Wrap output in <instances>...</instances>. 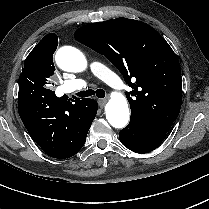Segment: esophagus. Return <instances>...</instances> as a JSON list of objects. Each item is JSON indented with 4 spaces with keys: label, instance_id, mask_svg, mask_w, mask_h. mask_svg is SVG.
<instances>
[{
    "label": "esophagus",
    "instance_id": "obj_1",
    "mask_svg": "<svg viewBox=\"0 0 209 209\" xmlns=\"http://www.w3.org/2000/svg\"><path fill=\"white\" fill-rule=\"evenodd\" d=\"M98 102H99V105L101 107H103L105 105V103L107 102V99H105V98L104 99H99Z\"/></svg>",
    "mask_w": 209,
    "mask_h": 209
}]
</instances>
